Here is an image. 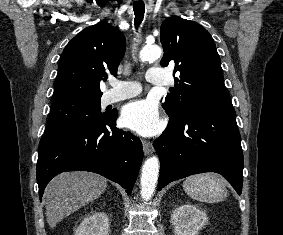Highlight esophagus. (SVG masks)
I'll return each mask as SVG.
<instances>
[{"label":"esophagus","instance_id":"obj_1","mask_svg":"<svg viewBox=\"0 0 283 235\" xmlns=\"http://www.w3.org/2000/svg\"><path fill=\"white\" fill-rule=\"evenodd\" d=\"M142 146H143L144 154L146 156L152 154L154 148H153V144L150 141L142 140Z\"/></svg>","mask_w":283,"mask_h":235}]
</instances>
